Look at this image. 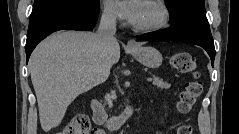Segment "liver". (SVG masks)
Segmentation results:
<instances>
[{"label":"liver","instance_id":"6515ba94","mask_svg":"<svg viewBox=\"0 0 239 134\" xmlns=\"http://www.w3.org/2000/svg\"><path fill=\"white\" fill-rule=\"evenodd\" d=\"M99 49L97 33L64 31L47 37L33 51L29 71L45 132L62 122L68 106L79 94L101 82L96 72ZM108 56L111 65L119 61L117 41Z\"/></svg>","mask_w":239,"mask_h":134}]
</instances>
